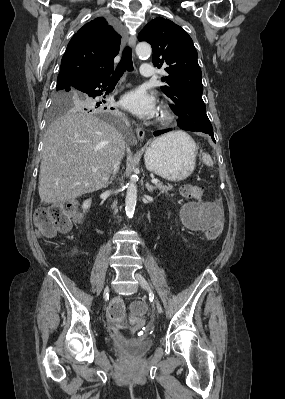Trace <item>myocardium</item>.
I'll list each match as a JSON object with an SVG mask.
<instances>
[{
	"instance_id": "obj_1",
	"label": "myocardium",
	"mask_w": 285,
	"mask_h": 399,
	"mask_svg": "<svg viewBox=\"0 0 285 399\" xmlns=\"http://www.w3.org/2000/svg\"><path fill=\"white\" fill-rule=\"evenodd\" d=\"M174 117L175 113L170 105L166 103L160 105L157 116V122L160 125H169L174 120Z\"/></svg>"
}]
</instances>
